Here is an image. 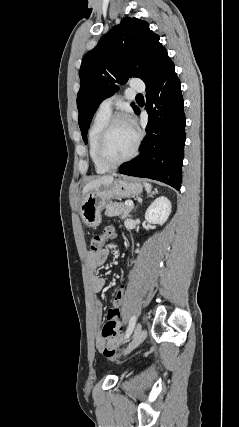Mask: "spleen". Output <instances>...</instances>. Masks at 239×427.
<instances>
[{
	"instance_id": "spleen-1",
	"label": "spleen",
	"mask_w": 239,
	"mask_h": 427,
	"mask_svg": "<svg viewBox=\"0 0 239 427\" xmlns=\"http://www.w3.org/2000/svg\"><path fill=\"white\" fill-rule=\"evenodd\" d=\"M143 185H144L145 190L147 191V193H149L151 191V189H152V185L149 184V183H147V182H144Z\"/></svg>"
}]
</instances>
